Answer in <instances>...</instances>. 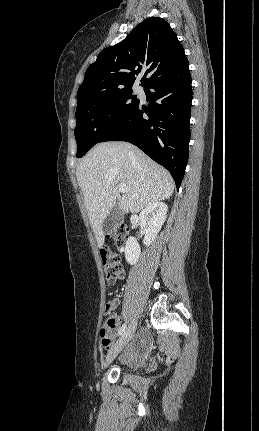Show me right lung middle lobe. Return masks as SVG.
Instances as JSON below:
<instances>
[{
    "mask_svg": "<svg viewBox=\"0 0 259 431\" xmlns=\"http://www.w3.org/2000/svg\"><path fill=\"white\" fill-rule=\"evenodd\" d=\"M138 104L139 99L132 95L131 87L93 95L79 103L74 131L76 156H84Z\"/></svg>",
    "mask_w": 259,
    "mask_h": 431,
    "instance_id": "obj_1",
    "label": "right lung middle lobe"
}]
</instances>
